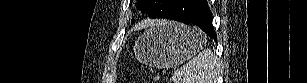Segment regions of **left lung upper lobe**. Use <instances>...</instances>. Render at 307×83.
<instances>
[{"label": "left lung upper lobe", "instance_id": "5c2ea615", "mask_svg": "<svg viewBox=\"0 0 307 83\" xmlns=\"http://www.w3.org/2000/svg\"><path fill=\"white\" fill-rule=\"evenodd\" d=\"M175 0H137L138 7L151 18H163ZM133 22V21H132Z\"/></svg>", "mask_w": 307, "mask_h": 83}]
</instances>
